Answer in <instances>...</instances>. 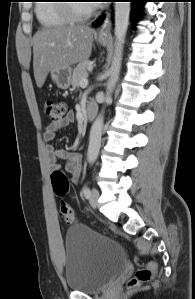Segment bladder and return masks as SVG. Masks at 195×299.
Instances as JSON below:
<instances>
[{"mask_svg": "<svg viewBox=\"0 0 195 299\" xmlns=\"http://www.w3.org/2000/svg\"><path fill=\"white\" fill-rule=\"evenodd\" d=\"M64 248L66 285L76 292L99 291L126 266V254L116 241L84 225L67 231Z\"/></svg>", "mask_w": 195, "mask_h": 299, "instance_id": "obj_1", "label": "bladder"}]
</instances>
